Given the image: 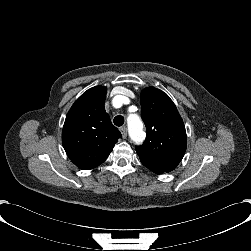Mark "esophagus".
Returning a JSON list of instances; mask_svg holds the SVG:
<instances>
[{"mask_svg": "<svg viewBox=\"0 0 251 251\" xmlns=\"http://www.w3.org/2000/svg\"><path fill=\"white\" fill-rule=\"evenodd\" d=\"M120 132L122 134V138L125 139L127 137V128L125 126L121 127Z\"/></svg>", "mask_w": 251, "mask_h": 251, "instance_id": "obj_1", "label": "esophagus"}]
</instances>
